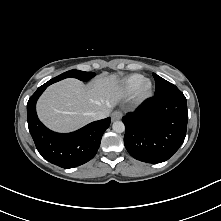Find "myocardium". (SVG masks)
Wrapping results in <instances>:
<instances>
[{"mask_svg": "<svg viewBox=\"0 0 221 221\" xmlns=\"http://www.w3.org/2000/svg\"><path fill=\"white\" fill-rule=\"evenodd\" d=\"M153 93V85L149 80H143L136 90V97L139 101L148 99Z\"/></svg>", "mask_w": 221, "mask_h": 221, "instance_id": "obj_1", "label": "myocardium"}]
</instances>
